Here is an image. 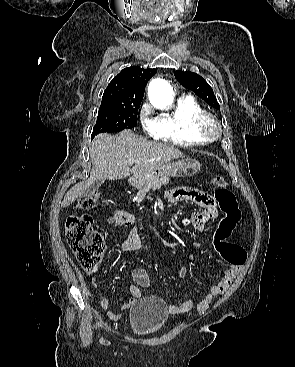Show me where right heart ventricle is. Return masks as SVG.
<instances>
[{"instance_id":"right-heart-ventricle-1","label":"right heart ventricle","mask_w":295,"mask_h":367,"mask_svg":"<svg viewBox=\"0 0 295 367\" xmlns=\"http://www.w3.org/2000/svg\"><path fill=\"white\" fill-rule=\"evenodd\" d=\"M204 112L192 97L178 99L172 112L158 119L160 132L158 139L179 146H200L209 142L195 130V120Z\"/></svg>"}]
</instances>
